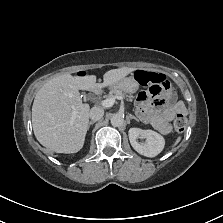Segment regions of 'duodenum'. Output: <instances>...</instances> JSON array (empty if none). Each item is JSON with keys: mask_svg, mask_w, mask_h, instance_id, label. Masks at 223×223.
<instances>
[{"mask_svg": "<svg viewBox=\"0 0 223 223\" xmlns=\"http://www.w3.org/2000/svg\"><path fill=\"white\" fill-rule=\"evenodd\" d=\"M101 90H102L101 86H97V87H94V88H93V92H94V93H98V92H100Z\"/></svg>", "mask_w": 223, "mask_h": 223, "instance_id": "1", "label": "duodenum"}]
</instances>
